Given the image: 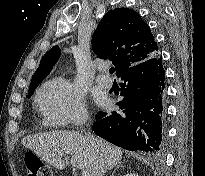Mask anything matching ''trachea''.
<instances>
[{"label": "trachea", "mask_w": 205, "mask_h": 176, "mask_svg": "<svg viewBox=\"0 0 205 176\" xmlns=\"http://www.w3.org/2000/svg\"><path fill=\"white\" fill-rule=\"evenodd\" d=\"M114 71H115V68H114V67H111V68H110V73H114Z\"/></svg>", "instance_id": "3493384b"}]
</instances>
